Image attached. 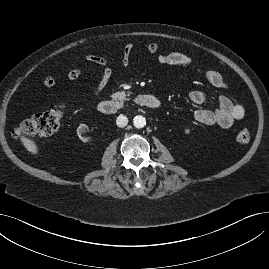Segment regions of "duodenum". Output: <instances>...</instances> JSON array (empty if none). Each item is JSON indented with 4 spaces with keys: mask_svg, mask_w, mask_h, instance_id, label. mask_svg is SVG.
I'll return each mask as SVG.
<instances>
[{
    "mask_svg": "<svg viewBox=\"0 0 269 269\" xmlns=\"http://www.w3.org/2000/svg\"><path fill=\"white\" fill-rule=\"evenodd\" d=\"M133 102L137 106L151 110H157L160 107V101L152 95H139L133 99ZM121 109V102L114 100H104L98 105V111L104 115L116 114Z\"/></svg>",
    "mask_w": 269,
    "mask_h": 269,
    "instance_id": "1",
    "label": "duodenum"
}]
</instances>
